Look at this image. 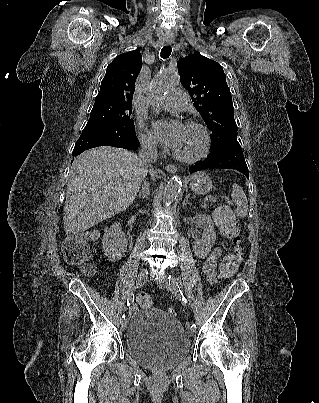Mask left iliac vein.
I'll use <instances>...</instances> for the list:
<instances>
[{"instance_id": "1", "label": "left iliac vein", "mask_w": 319, "mask_h": 403, "mask_svg": "<svg viewBox=\"0 0 319 403\" xmlns=\"http://www.w3.org/2000/svg\"><path fill=\"white\" fill-rule=\"evenodd\" d=\"M157 285L161 288V289H168L169 288V283L168 280L165 277H161L157 280ZM195 333V329L193 328H189L188 329V335L190 337H192Z\"/></svg>"}]
</instances>
